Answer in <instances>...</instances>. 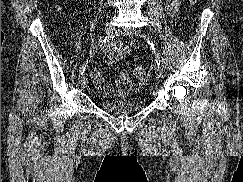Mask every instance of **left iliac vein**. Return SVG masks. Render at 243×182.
Here are the masks:
<instances>
[{
  "label": "left iliac vein",
  "instance_id": "1",
  "mask_svg": "<svg viewBox=\"0 0 243 182\" xmlns=\"http://www.w3.org/2000/svg\"><path fill=\"white\" fill-rule=\"evenodd\" d=\"M117 34H119L121 36H129V37L139 36L138 32L136 30H132V29H118ZM155 74H156V79L159 80L162 77V68L158 67L156 69Z\"/></svg>",
  "mask_w": 243,
  "mask_h": 182
}]
</instances>
